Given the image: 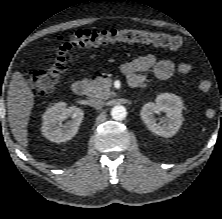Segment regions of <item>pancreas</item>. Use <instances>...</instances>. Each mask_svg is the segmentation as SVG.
Masks as SVG:
<instances>
[{
    "label": "pancreas",
    "instance_id": "pancreas-1",
    "mask_svg": "<svg viewBox=\"0 0 222 219\" xmlns=\"http://www.w3.org/2000/svg\"><path fill=\"white\" fill-rule=\"evenodd\" d=\"M87 94L90 97L108 99L111 96L110 89L102 80H86Z\"/></svg>",
    "mask_w": 222,
    "mask_h": 219
}]
</instances>
